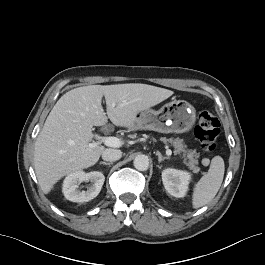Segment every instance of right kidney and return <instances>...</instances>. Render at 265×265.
Wrapping results in <instances>:
<instances>
[{
  "label": "right kidney",
  "instance_id": "right-kidney-1",
  "mask_svg": "<svg viewBox=\"0 0 265 265\" xmlns=\"http://www.w3.org/2000/svg\"><path fill=\"white\" fill-rule=\"evenodd\" d=\"M91 182L86 191H80L79 184ZM105 177L101 172L93 171L85 173L77 171L69 174L63 182V193L67 200L72 202H88L94 199L101 191Z\"/></svg>",
  "mask_w": 265,
  "mask_h": 265
}]
</instances>
